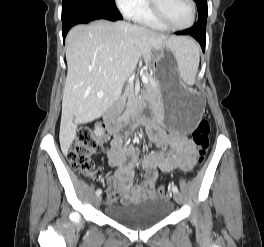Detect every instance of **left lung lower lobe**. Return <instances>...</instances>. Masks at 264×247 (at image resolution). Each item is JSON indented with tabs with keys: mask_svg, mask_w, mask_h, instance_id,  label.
Instances as JSON below:
<instances>
[{
	"mask_svg": "<svg viewBox=\"0 0 264 247\" xmlns=\"http://www.w3.org/2000/svg\"><path fill=\"white\" fill-rule=\"evenodd\" d=\"M177 35H191L201 45L203 52L206 43V21H198L192 28L176 32Z\"/></svg>",
	"mask_w": 264,
	"mask_h": 247,
	"instance_id": "1",
	"label": "left lung lower lobe"
}]
</instances>
